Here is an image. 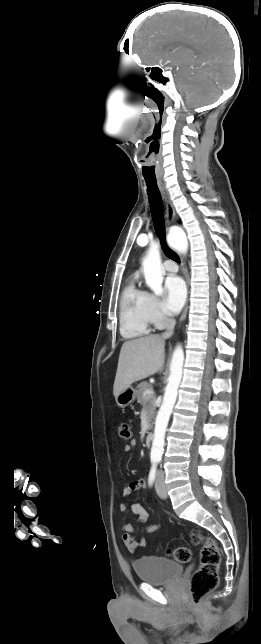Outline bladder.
Listing matches in <instances>:
<instances>
[{"label": "bladder", "instance_id": "31cf9c89", "mask_svg": "<svg viewBox=\"0 0 261 644\" xmlns=\"http://www.w3.org/2000/svg\"><path fill=\"white\" fill-rule=\"evenodd\" d=\"M133 567L139 580L152 585L171 583L183 572L180 563L154 555L136 559Z\"/></svg>", "mask_w": 261, "mask_h": 644}]
</instances>
